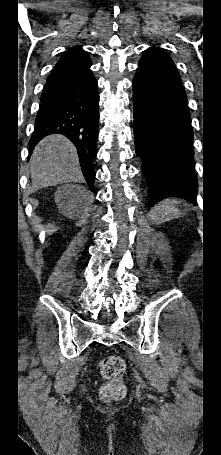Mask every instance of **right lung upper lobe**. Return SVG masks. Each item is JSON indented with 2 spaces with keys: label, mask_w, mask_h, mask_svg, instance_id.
<instances>
[{
  "label": "right lung upper lobe",
  "mask_w": 221,
  "mask_h": 455,
  "mask_svg": "<svg viewBox=\"0 0 221 455\" xmlns=\"http://www.w3.org/2000/svg\"><path fill=\"white\" fill-rule=\"evenodd\" d=\"M77 49H80V47H75V48L71 49L70 51L77 50Z\"/></svg>",
  "instance_id": "right-lung-upper-lobe-1"
}]
</instances>
